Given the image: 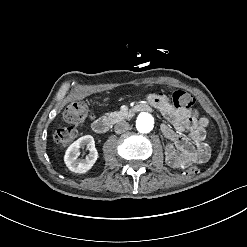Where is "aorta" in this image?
I'll use <instances>...</instances> for the list:
<instances>
[{"instance_id":"762f6f07","label":"aorta","mask_w":247,"mask_h":247,"mask_svg":"<svg viewBox=\"0 0 247 247\" xmlns=\"http://www.w3.org/2000/svg\"><path fill=\"white\" fill-rule=\"evenodd\" d=\"M136 127L140 133H149L154 127L153 117L148 113L139 114Z\"/></svg>"}]
</instances>
